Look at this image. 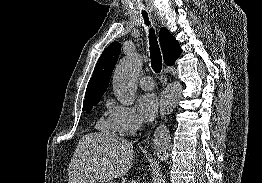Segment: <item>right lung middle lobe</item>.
Listing matches in <instances>:
<instances>
[{
	"label": "right lung middle lobe",
	"mask_w": 262,
	"mask_h": 183,
	"mask_svg": "<svg viewBox=\"0 0 262 183\" xmlns=\"http://www.w3.org/2000/svg\"><path fill=\"white\" fill-rule=\"evenodd\" d=\"M100 99H94V100H87L83 103V111L89 112L92 110L93 106H95Z\"/></svg>",
	"instance_id": "right-lung-middle-lobe-1"
}]
</instances>
